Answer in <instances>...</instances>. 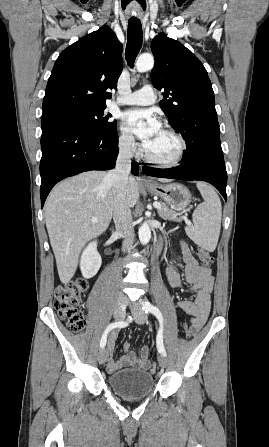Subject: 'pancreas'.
Returning <instances> with one entry per match:
<instances>
[{
    "label": "pancreas",
    "mask_w": 269,
    "mask_h": 447,
    "mask_svg": "<svg viewBox=\"0 0 269 447\" xmlns=\"http://www.w3.org/2000/svg\"><path fill=\"white\" fill-rule=\"evenodd\" d=\"M159 204L162 206V210H158L160 218H163V220H171V222H182L180 218H177L178 214L173 212V210H169L164 202H159Z\"/></svg>",
    "instance_id": "cf45deb5"
}]
</instances>
